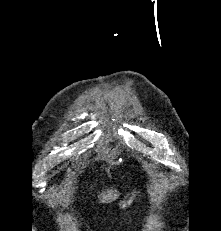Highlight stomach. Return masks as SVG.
<instances>
[{"label":"stomach","mask_w":221,"mask_h":231,"mask_svg":"<svg viewBox=\"0 0 221 231\" xmlns=\"http://www.w3.org/2000/svg\"><path fill=\"white\" fill-rule=\"evenodd\" d=\"M135 197H136L135 191L128 193L127 196L119 202V204H118L119 208L125 209V208L129 207L132 204Z\"/></svg>","instance_id":"1"}]
</instances>
